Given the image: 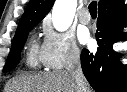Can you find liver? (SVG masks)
Masks as SVG:
<instances>
[{
	"mask_svg": "<svg viewBox=\"0 0 127 92\" xmlns=\"http://www.w3.org/2000/svg\"><path fill=\"white\" fill-rule=\"evenodd\" d=\"M4 92H77L72 76L64 70L22 75L11 79ZM86 92H91L89 86Z\"/></svg>",
	"mask_w": 127,
	"mask_h": 92,
	"instance_id": "obj_1",
	"label": "liver"
}]
</instances>
